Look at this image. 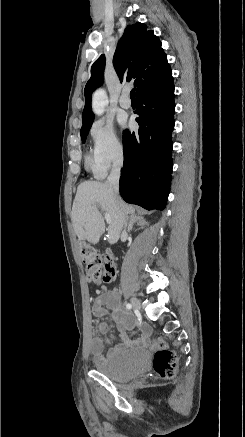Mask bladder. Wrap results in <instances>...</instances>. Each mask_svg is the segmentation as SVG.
<instances>
[{
    "instance_id": "bladder-1",
    "label": "bladder",
    "mask_w": 245,
    "mask_h": 437,
    "mask_svg": "<svg viewBox=\"0 0 245 437\" xmlns=\"http://www.w3.org/2000/svg\"><path fill=\"white\" fill-rule=\"evenodd\" d=\"M150 363L146 349L116 348L94 363L99 373L114 381L126 382L144 372Z\"/></svg>"
}]
</instances>
